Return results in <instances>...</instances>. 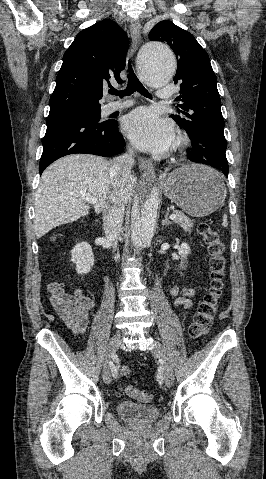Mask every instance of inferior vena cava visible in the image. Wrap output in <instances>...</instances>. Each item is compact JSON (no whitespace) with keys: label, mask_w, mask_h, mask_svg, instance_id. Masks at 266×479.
I'll return each mask as SVG.
<instances>
[{"label":"inferior vena cava","mask_w":266,"mask_h":479,"mask_svg":"<svg viewBox=\"0 0 266 479\" xmlns=\"http://www.w3.org/2000/svg\"><path fill=\"white\" fill-rule=\"evenodd\" d=\"M135 164L133 152L129 149L125 154L116 157L111 164L112 189L103 207L104 233L109 245L116 249L121 231L125 197L124 188L131 177V169ZM117 260V257H115Z\"/></svg>","instance_id":"1"}]
</instances>
